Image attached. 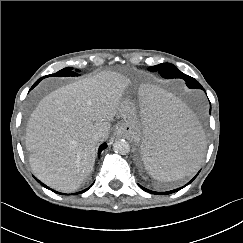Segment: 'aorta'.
I'll return each mask as SVG.
<instances>
[{"instance_id": "762f6f07", "label": "aorta", "mask_w": 243, "mask_h": 243, "mask_svg": "<svg viewBox=\"0 0 243 243\" xmlns=\"http://www.w3.org/2000/svg\"><path fill=\"white\" fill-rule=\"evenodd\" d=\"M113 150L116 152V153H119L121 155H126L130 152V145L129 143L124 140V139H121V140H117L114 142L113 144Z\"/></svg>"}]
</instances>
